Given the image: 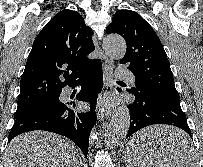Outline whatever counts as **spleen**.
Listing matches in <instances>:
<instances>
[{"label":"spleen","mask_w":203,"mask_h":167,"mask_svg":"<svg viewBox=\"0 0 203 167\" xmlns=\"http://www.w3.org/2000/svg\"><path fill=\"white\" fill-rule=\"evenodd\" d=\"M143 145L134 146L128 145L127 152L130 153V160H125L128 167H198L196 163V156L193 150L187 152V158L173 163H168L162 160L156 148L148 147L145 143ZM152 149H156L158 154L155 156Z\"/></svg>","instance_id":"3e777b00"}]
</instances>
